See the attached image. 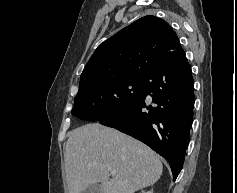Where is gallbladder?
<instances>
[{
	"label": "gallbladder",
	"instance_id": "bac80fb5",
	"mask_svg": "<svg viewBox=\"0 0 237 193\" xmlns=\"http://www.w3.org/2000/svg\"><path fill=\"white\" fill-rule=\"evenodd\" d=\"M82 193H103L100 184L95 183L86 188Z\"/></svg>",
	"mask_w": 237,
	"mask_h": 193
}]
</instances>
